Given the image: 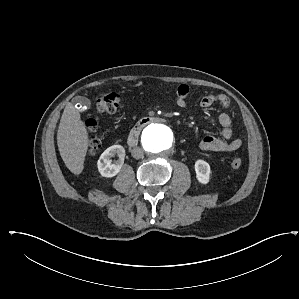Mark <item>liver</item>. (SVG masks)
I'll use <instances>...</instances> for the list:
<instances>
[{
    "label": "liver",
    "mask_w": 299,
    "mask_h": 299,
    "mask_svg": "<svg viewBox=\"0 0 299 299\" xmlns=\"http://www.w3.org/2000/svg\"><path fill=\"white\" fill-rule=\"evenodd\" d=\"M57 145L66 167L75 175L84 169L89 146L88 131L79 111L68 103L63 111L57 132Z\"/></svg>",
    "instance_id": "6515ba94"
}]
</instances>
